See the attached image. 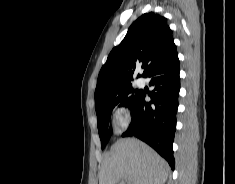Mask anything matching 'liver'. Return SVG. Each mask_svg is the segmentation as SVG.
I'll return each instance as SVG.
<instances>
[{"mask_svg": "<svg viewBox=\"0 0 235 184\" xmlns=\"http://www.w3.org/2000/svg\"><path fill=\"white\" fill-rule=\"evenodd\" d=\"M169 166L152 148L135 140H117L103 160L99 184H117L121 178L131 184H165Z\"/></svg>", "mask_w": 235, "mask_h": 184, "instance_id": "1", "label": "liver"}]
</instances>
